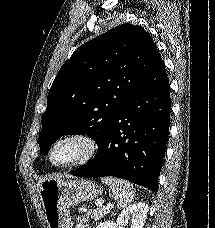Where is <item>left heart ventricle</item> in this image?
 <instances>
[{"instance_id": "obj_1", "label": "left heart ventricle", "mask_w": 215, "mask_h": 228, "mask_svg": "<svg viewBox=\"0 0 215 228\" xmlns=\"http://www.w3.org/2000/svg\"><path fill=\"white\" fill-rule=\"evenodd\" d=\"M76 151L74 145L64 144L52 154V161L56 163L67 161L75 155Z\"/></svg>"}]
</instances>
